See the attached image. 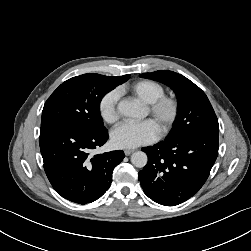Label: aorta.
Returning a JSON list of instances; mask_svg holds the SVG:
<instances>
[{
	"instance_id": "obj_1",
	"label": "aorta",
	"mask_w": 251,
	"mask_h": 251,
	"mask_svg": "<svg viewBox=\"0 0 251 251\" xmlns=\"http://www.w3.org/2000/svg\"><path fill=\"white\" fill-rule=\"evenodd\" d=\"M118 111L126 117L136 118L141 114L140 107L134 102L122 101L118 104ZM148 157L145 152L137 151L131 155V163L138 168H142L147 164Z\"/></svg>"
}]
</instances>
